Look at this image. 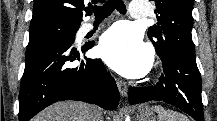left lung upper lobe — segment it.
<instances>
[{
  "label": "left lung upper lobe",
  "mask_w": 217,
  "mask_h": 121,
  "mask_svg": "<svg viewBox=\"0 0 217 121\" xmlns=\"http://www.w3.org/2000/svg\"><path fill=\"white\" fill-rule=\"evenodd\" d=\"M158 23L149 27L148 37L159 57L171 51L195 56L191 30L193 0H154Z\"/></svg>",
  "instance_id": "left-lung-upper-lobe-1"
}]
</instances>
